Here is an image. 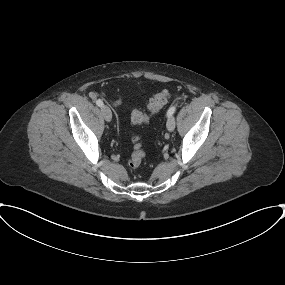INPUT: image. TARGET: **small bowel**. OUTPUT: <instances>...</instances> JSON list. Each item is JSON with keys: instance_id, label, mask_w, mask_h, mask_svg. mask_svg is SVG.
Segmentation results:
<instances>
[{"instance_id": "obj_1", "label": "small bowel", "mask_w": 285, "mask_h": 285, "mask_svg": "<svg viewBox=\"0 0 285 285\" xmlns=\"http://www.w3.org/2000/svg\"><path fill=\"white\" fill-rule=\"evenodd\" d=\"M113 104H114L115 106L120 105V104H121V99H120V98H117L116 100L113 101Z\"/></svg>"}]
</instances>
